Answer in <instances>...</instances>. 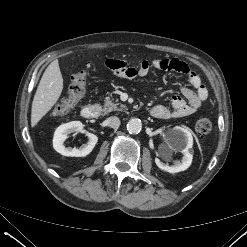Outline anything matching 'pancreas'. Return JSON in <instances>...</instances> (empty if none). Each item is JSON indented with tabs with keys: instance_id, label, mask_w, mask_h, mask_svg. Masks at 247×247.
<instances>
[{
	"instance_id": "cf45deb5",
	"label": "pancreas",
	"mask_w": 247,
	"mask_h": 247,
	"mask_svg": "<svg viewBox=\"0 0 247 247\" xmlns=\"http://www.w3.org/2000/svg\"><path fill=\"white\" fill-rule=\"evenodd\" d=\"M118 100H116L117 102ZM113 102V99H111L109 96L105 98V103L103 106V113L107 114L110 113L112 111H122L124 109H126V106L124 104H120V103H116ZM119 106V107H118Z\"/></svg>"
}]
</instances>
